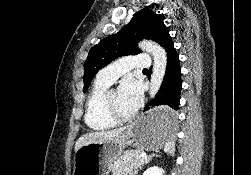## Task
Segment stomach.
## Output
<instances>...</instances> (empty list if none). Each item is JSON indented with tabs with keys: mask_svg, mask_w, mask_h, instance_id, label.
<instances>
[{
	"mask_svg": "<svg viewBox=\"0 0 251 175\" xmlns=\"http://www.w3.org/2000/svg\"><path fill=\"white\" fill-rule=\"evenodd\" d=\"M174 106L155 107L140 115L126 133L115 141L84 143L74 155L73 175H108L113 161L121 157L126 145L138 149H155L165 141H173L177 114Z\"/></svg>",
	"mask_w": 251,
	"mask_h": 175,
	"instance_id": "stomach-1",
	"label": "stomach"
}]
</instances>
